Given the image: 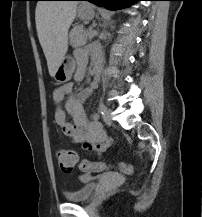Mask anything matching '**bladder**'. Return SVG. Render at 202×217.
Returning <instances> with one entry per match:
<instances>
[{
	"mask_svg": "<svg viewBox=\"0 0 202 217\" xmlns=\"http://www.w3.org/2000/svg\"><path fill=\"white\" fill-rule=\"evenodd\" d=\"M91 176L88 174H83L80 176L82 181L81 187L74 192L65 193V198L69 203L77 204L84 203L92 199L97 191V184L90 182ZM105 178L115 179L117 176L115 174H107Z\"/></svg>",
	"mask_w": 202,
	"mask_h": 217,
	"instance_id": "bladder-1",
	"label": "bladder"
}]
</instances>
